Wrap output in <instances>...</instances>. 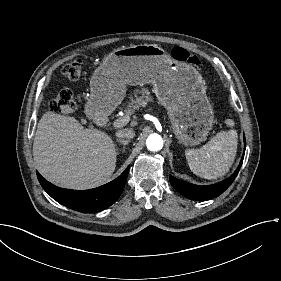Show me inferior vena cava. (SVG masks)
<instances>
[{
	"mask_svg": "<svg viewBox=\"0 0 281 281\" xmlns=\"http://www.w3.org/2000/svg\"><path fill=\"white\" fill-rule=\"evenodd\" d=\"M116 136L121 139H131L135 136V132L132 128H126V129L118 130L116 132Z\"/></svg>",
	"mask_w": 281,
	"mask_h": 281,
	"instance_id": "602c4592",
	"label": "inferior vena cava"
}]
</instances>
